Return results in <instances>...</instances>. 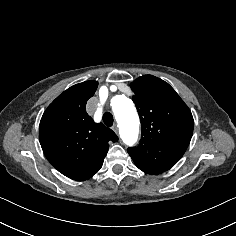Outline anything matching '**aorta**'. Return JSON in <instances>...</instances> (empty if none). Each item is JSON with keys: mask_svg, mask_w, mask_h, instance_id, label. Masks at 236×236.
Returning a JSON list of instances; mask_svg holds the SVG:
<instances>
[{"mask_svg": "<svg viewBox=\"0 0 236 236\" xmlns=\"http://www.w3.org/2000/svg\"><path fill=\"white\" fill-rule=\"evenodd\" d=\"M120 137L129 146L135 144L139 133V116L131 99L125 95H116L111 100Z\"/></svg>", "mask_w": 236, "mask_h": 236, "instance_id": "1", "label": "aorta"}]
</instances>
